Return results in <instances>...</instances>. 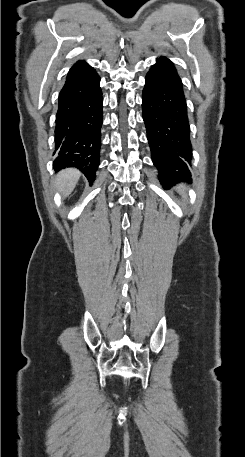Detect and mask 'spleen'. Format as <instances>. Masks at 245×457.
<instances>
[{
  "mask_svg": "<svg viewBox=\"0 0 245 457\" xmlns=\"http://www.w3.org/2000/svg\"><path fill=\"white\" fill-rule=\"evenodd\" d=\"M178 192H180V194H183V196H186V186H183V184H179Z\"/></svg>",
  "mask_w": 245,
  "mask_h": 457,
  "instance_id": "1",
  "label": "spleen"
}]
</instances>
